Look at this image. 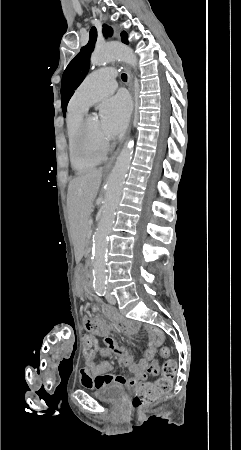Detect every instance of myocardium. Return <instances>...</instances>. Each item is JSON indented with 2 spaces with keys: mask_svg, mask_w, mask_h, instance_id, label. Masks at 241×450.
<instances>
[{
  "mask_svg": "<svg viewBox=\"0 0 241 450\" xmlns=\"http://www.w3.org/2000/svg\"><path fill=\"white\" fill-rule=\"evenodd\" d=\"M92 59H95L94 57H92ZM89 119L88 116H84L80 121H78L74 127V134L75 136L73 137V142L75 143L73 145V148L75 149V153H79V158L78 161L79 162H84L85 158H88L89 162H93L94 158H101L102 154L99 153L100 149L99 148H94L91 149L90 152H83L81 149V146L83 143H86V139H85V134L88 132V129H86V122ZM96 152V153H95Z\"/></svg>",
  "mask_w": 241,
  "mask_h": 450,
  "instance_id": "f54148a6",
  "label": "myocardium"
}]
</instances>
